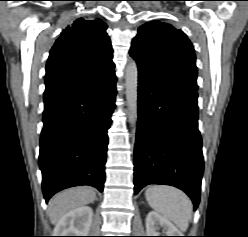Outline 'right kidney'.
I'll list each match as a JSON object with an SVG mask.
<instances>
[{"label": "right kidney", "instance_id": "1", "mask_svg": "<svg viewBox=\"0 0 248 237\" xmlns=\"http://www.w3.org/2000/svg\"><path fill=\"white\" fill-rule=\"evenodd\" d=\"M93 210L89 206L78 207L65 214L55 228L56 236H87L92 224Z\"/></svg>", "mask_w": 248, "mask_h": 237}]
</instances>
